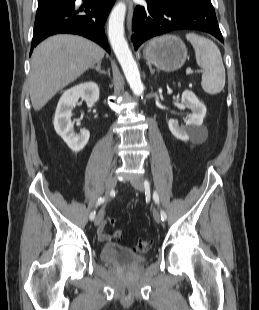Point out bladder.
Instances as JSON below:
<instances>
[{
    "instance_id": "31cf9c89",
    "label": "bladder",
    "mask_w": 259,
    "mask_h": 310,
    "mask_svg": "<svg viewBox=\"0 0 259 310\" xmlns=\"http://www.w3.org/2000/svg\"><path fill=\"white\" fill-rule=\"evenodd\" d=\"M101 261L121 268H131L145 262V257L116 244H105L100 250Z\"/></svg>"
}]
</instances>
